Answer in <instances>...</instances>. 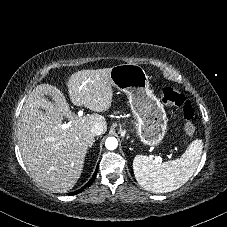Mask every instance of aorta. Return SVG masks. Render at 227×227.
<instances>
[{
    "label": "aorta",
    "instance_id": "obj_1",
    "mask_svg": "<svg viewBox=\"0 0 227 227\" xmlns=\"http://www.w3.org/2000/svg\"><path fill=\"white\" fill-rule=\"evenodd\" d=\"M105 146L108 150H114L118 146V141L115 137H108L105 141Z\"/></svg>",
    "mask_w": 227,
    "mask_h": 227
}]
</instances>
